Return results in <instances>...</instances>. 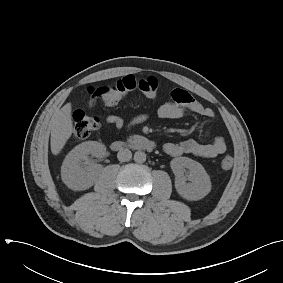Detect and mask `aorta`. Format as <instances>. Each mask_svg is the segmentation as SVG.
<instances>
[{"instance_id": "obj_1", "label": "aorta", "mask_w": 283, "mask_h": 283, "mask_svg": "<svg viewBox=\"0 0 283 283\" xmlns=\"http://www.w3.org/2000/svg\"><path fill=\"white\" fill-rule=\"evenodd\" d=\"M134 161L136 163H144L146 161V154L143 151H136L134 154Z\"/></svg>"}]
</instances>
